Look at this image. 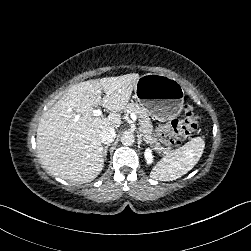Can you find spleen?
<instances>
[{
	"instance_id": "spleen-1",
	"label": "spleen",
	"mask_w": 251,
	"mask_h": 251,
	"mask_svg": "<svg viewBox=\"0 0 251 251\" xmlns=\"http://www.w3.org/2000/svg\"><path fill=\"white\" fill-rule=\"evenodd\" d=\"M204 149L200 137L192 138L183 147L169 153L151 172V178L169 181L181 177L198 162Z\"/></svg>"
}]
</instances>
